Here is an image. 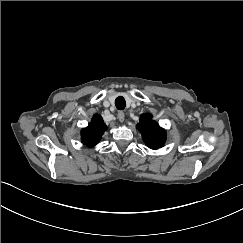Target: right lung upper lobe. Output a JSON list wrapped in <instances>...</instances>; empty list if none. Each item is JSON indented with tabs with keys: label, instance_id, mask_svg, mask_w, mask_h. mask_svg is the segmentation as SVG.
<instances>
[{
	"label": "right lung upper lobe",
	"instance_id": "right-lung-upper-lobe-1",
	"mask_svg": "<svg viewBox=\"0 0 243 243\" xmlns=\"http://www.w3.org/2000/svg\"><path fill=\"white\" fill-rule=\"evenodd\" d=\"M106 125L100 115L93 116L91 123L81 132L82 142L88 147L95 146L106 130Z\"/></svg>",
	"mask_w": 243,
	"mask_h": 243
}]
</instances>
